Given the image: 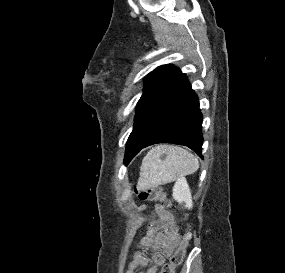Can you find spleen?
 I'll use <instances>...</instances> for the list:
<instances>
[{"mask_svg": "<svg viewBox=\"0 0 285 273\" xmlns=\"http://www.w3.org/2000/svg\"><path fill=\"white\" fill-rule=\"evenodd\" d=\"M199 168L198 159L187 150L172 145H158L143 158L139 187L147 189L177 181Z\"/></svg>", "mask_w": 285, "mask_h": 273, "instance_id": "obj_1", "label": "spleen"}]
</instances>
